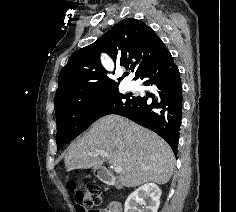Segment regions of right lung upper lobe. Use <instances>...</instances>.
Returning a JSON list of instances; mask_svg holds the SVG:
<instances>
[{
    "mask_svg": "<svg viewBox=\"0 0 236 212\" xmlns=\"http://www.w3.org/2000/svg\"><path fill=\"white\" fill-rule=\"evenodd\" d=\"M164 47L162 40L145 23L124 19L94 43L70 56L59 74L55 112L81 98L118 88V83L107 76L101 65V52L120 66L130 67L135 71L134 79H138Z\"/></svg>",
    "mask_w": 236,
    "mask_h": 212,
    "instance_id": "obj_1",
    "label": "right lung upper lobe"
}]
</instances>
